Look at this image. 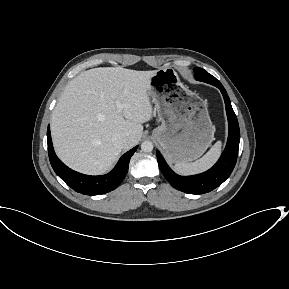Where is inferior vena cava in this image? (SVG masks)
<instances>
[{
    "label": "inferior vena cava",
    "mask_w": 289,
    "mask_h": 289,
    "mask_svg": "<svg viewBox=\"0 0 289 289\" xmlns=\"http://www.w3.org/2000/svg\"><path fill=\"white\" fill-rule=\"evenodd\" d=\"M127 141H128V138L125 137V136L120 137V138L117 140L118 144H119L120 146H122V147L127 143Z\"/></svg>",
    "instance_id": "602c4592"
}]
</instances>
